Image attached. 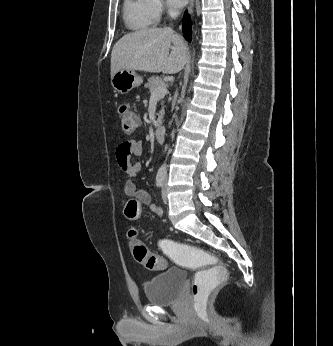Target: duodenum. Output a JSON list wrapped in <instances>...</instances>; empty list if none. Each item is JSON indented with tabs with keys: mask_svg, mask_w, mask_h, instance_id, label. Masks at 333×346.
Here are the masks:
<instances>
[{
	"mask_svg": "<svg viewBox=\"0 0 333 346\" xmlns=\"http://www.w3.org/2000/svg\"><path fill=\"white\" fill-rule=\"evenodd\" d=\"M155 138L158 142H163L165 139V127L163 126H157L155 128Z\"/></svg>",
	"mask_w": 333,
	"mask_h": 346,
	"instance_id": "obj_1",
	"label": "duodenum"
}]
</instances>
